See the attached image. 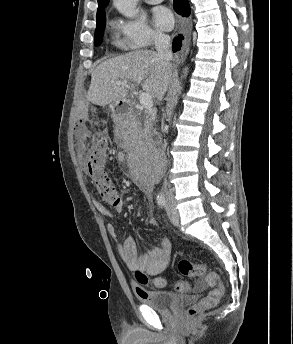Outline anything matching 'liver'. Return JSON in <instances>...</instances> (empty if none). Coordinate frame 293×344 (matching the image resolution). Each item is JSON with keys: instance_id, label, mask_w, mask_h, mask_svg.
<instances>
[{"instance_id": "1", "label": "liver", "mask_w": 293, "mask_h": 344, "mask_svg": "<svg viewBox=\"0 0 293 344\" xmlns=\"http://www.w3.org/2000/svg\"><path fill=\"white\" fill-rule=\"evenodd\" d=\"M133 84L118 85V81ZM173 81L172 66L168 67L155 51L136 50L102 62L91 75L87 100L98 106L124 101L137 83L152 98L161 100Z\"/></svg>"}]
</instances>
